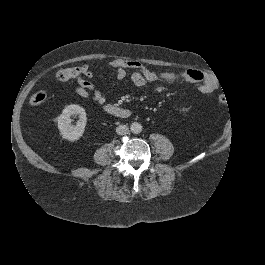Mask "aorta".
<instances>
[{
	"instance_id": "aorta-1",
	"label": "aorta",
	"mask_w": 265,
	"mask_h": 265,
	"mask_svg": "<svg viewBox=\"0 0 265 265\" xmlns=\"http://www.w3.org/2000/svg\"><path fill=\"white\" fill-rule=\"evenodd\" d=\"M130 130L134 133V134H139L142 131V125L138 122H133L130 125Z\"/></svg>"
}]
</instances>
